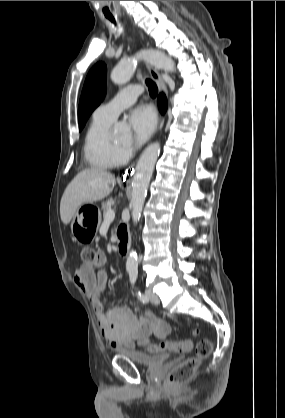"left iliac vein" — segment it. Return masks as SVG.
<instances>
[{"label": "left iliac vein", "mask_w": 285, "mask_h": 418, "mask_svg": "<svg viewBox=\"0 0 285 418\" xmlns=\"http://www.w3.org/2000/svg\"><path fill=\"white\" fill-rule=\"evenodd\" d=\"M145 294L151 302L159 304V298L153 293L151 289H146Z\"/></svg>", "instance_id": "1"}]
</instances>
